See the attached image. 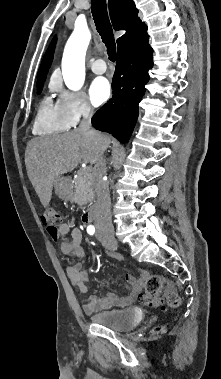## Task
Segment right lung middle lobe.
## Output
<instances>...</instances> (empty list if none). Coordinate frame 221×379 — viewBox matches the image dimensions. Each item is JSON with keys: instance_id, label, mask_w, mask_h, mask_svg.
Wrapping results in <instances>:
<instances>
[{"instance_id": "1", "label": "right lung middle lobe", "mask_w": 221, "mask_h": 379, "mask_svg": "<svg viewBox=\"0 0 221 379\" xmlns=\"http://www.w3.org/2000/svg\"><path fill=\"white\" fill-rule=\"evenodd\" d=\"M42 90V86H37V93L39 94Z\"/></svg>"}]
</instances>
